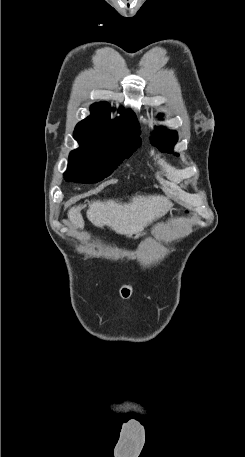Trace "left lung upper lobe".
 I'll return each instance as SVG.
<instances>
[{
  "mask_svg": "<svg viewBox=\"0 0 245 457\" xmlns=\"http://www.w3.org/2000/svg\"><path fill=\"white\" fill-rule=\"evenodd\" d=\"M177 132L166 130L165 128H156L154 132L152 144L156 145L161 151L173 153L171 149L173 145L177 142ZM176 156L179 154L174 153Z\"/></svg>",
  "mask_w": 245,
  "mask_h": 457,
  "instance_id": "5c2ea615",
  "label": "left lung upper lobe"
}]
</instances>
